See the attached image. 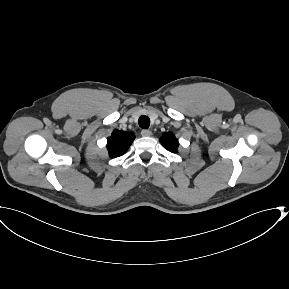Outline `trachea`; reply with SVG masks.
<instances>
[{"label": "trachea", "mask_w": 289, "mask_h": 289, "mask_svg": "<svg viewBox=\"0 0 289 289\" xmlns=\"http://www.w3.org/2000/svg\"><path fill=\"white\" fill-rule=\"evenodd\" d=\"M139 126L143 129H147L150 126V119L148 116H141L138 120Z\"/></svg>", "instance_id": "1"}]
</instances>
